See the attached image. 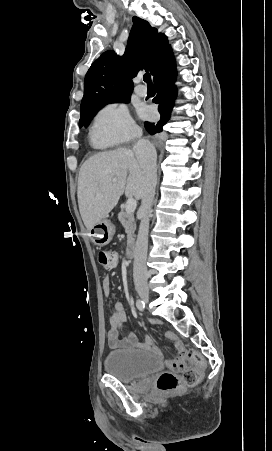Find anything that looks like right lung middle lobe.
Returning <instances> with one entry per match:
<instances>
[{
	"label": "right lung middle lobe",
	"mask_w": 272,
	"mask_h": 451,
	"mask_svg": "<svg viewBox=\"0 0 272 451\" xmlns=\"http://www.w3.org/2000/svg\"><path fill=\"white\" fill-rule=\"evenodd\" d=\"M130 101V98H126V99H121V100H115L109 103H116V102H123V103H128ZM108 104V103H107ZM106 105V104H104ZM104 105L98 106V107H94L91 109H87L85 111L81 112V117H80V121H79V127L81 128L82 126H87L90 122V120L92 119V117L95 115V113L102 108Z\"/></svg>",
	"instance_id": "right-lung-middle-lobe-1"
}]
</instances>
